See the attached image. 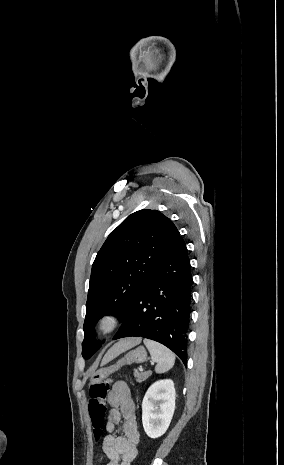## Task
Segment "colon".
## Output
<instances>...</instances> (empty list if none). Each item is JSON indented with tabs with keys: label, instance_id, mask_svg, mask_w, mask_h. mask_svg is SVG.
<instances>
[{
	"label": "colon",
	"instance_id": "1",
	"mask_svg": "<svg viewBox=\"0 0 284 465\" xmlns=\"http://www.w3.org/2000/svg\"><path fill=\"white\" fill-rule=\"evenodd\" d=\"M108 395V384L104 380H99L93 383L89 388V406L90 411L95 412L90 414V421L92 422L93 436L100 438L102 436L101 430L107 429V422L105 421L106 397Z\"/></svg>",
	"mask_w": 284,
	"mask_h": 465
}]
</instances>
